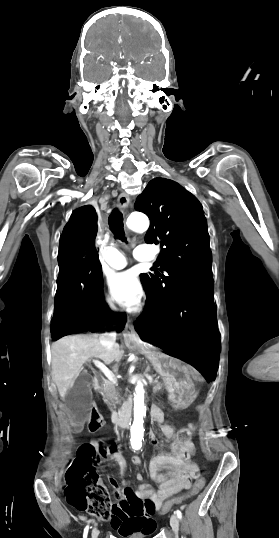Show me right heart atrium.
<instances>
[{"label":"right heart atrium","mask_w":279,"mask_h":538,"mask_svg":"<svg viewBox=\"0 0 279 538\" xmlns=\"http://www.w3.org/2000/svg\"><path fill=\"white\" fill-rule=\"evenodd\" d=\"M143 228L136 230V233L141 234ZM100 310L104 317L113 318L117 315L118 309L114 299L108 293H102L100 298Z\"/></svg>","instance_id":"d8ad5b80"}]
</instances>
